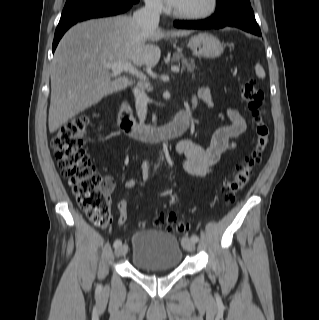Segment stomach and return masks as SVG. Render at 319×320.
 I'll return each instance as SVG.
<instances>
[{
    "label": "stomach",
    "instance_id": "stomach-1",
    "mask_svg": "<svg viewBox=\"0 0 319 320\" xmlns=\"http://www.w3.org/2000/svg\"><path fill=\"white\" fill-rule=\"evenodd\" d=\"M187 46L198 57L216 58L223 53L224 47L214 35L206 32L192 36Z\"/></svg>",
    "mask_w": 319,
    "mask_h": 320
}]
</instances>
